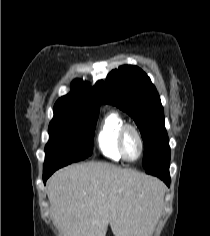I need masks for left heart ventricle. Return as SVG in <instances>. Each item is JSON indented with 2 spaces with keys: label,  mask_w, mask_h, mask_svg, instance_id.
Returning a JSON list of instances; mask_svg holds the SVG:
<instances>
[{
  "label": "left heart ventricle",
  "mask_w": 210,
  "mask_h": 236,
  "mask_svg": "<svg viewBox=\"0 0 210 236\" xmlns=\"http://www.w3.org/2000/svg\"><path fill=\"white\" fill-rule=\"evenodd\" d=\"M124 150L127 157L134 159L139 153V141L135 133L132 131L127 132L124 139Z\"/></svg>",
  "instance_id": "obj_1"
}]
</instances>
